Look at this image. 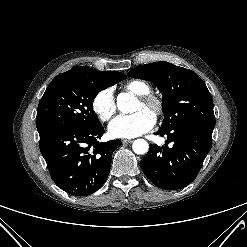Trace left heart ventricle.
Returning a JSON list of instances; mask_svg holds the SVG:
<instances>
[{
  "mask_svg": "<svg viewBox=\"0 0 247 247\" xmlns=\"http://www.w3.org/2000/svg\"><path fill=\"white\" fill-rule=\"evenodd\" d=\"M141 109H144V110H146V111H148V112H150L152 114L150 108L143 106L139 101H137L135 106H134V108H133V111H138V110H141Z\"/></svg>",
  "mask_w": 247,
  "mask_h": 247,
  "instance_id": "1",
  "label": "left heart ventricle"
}]
</instances>
